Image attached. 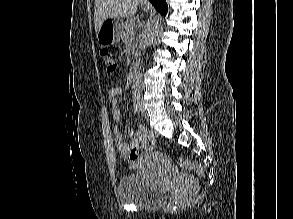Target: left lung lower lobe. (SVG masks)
Returning a JSON list of instances; mask_svg holds the SVG:
<instances>
[{"instance_id":"left-lung-lower-lobe-1","label":"left lung lower lobe","mask_w":293,"mask_h":219,"mask_svg":"<svg viewBox=\"0 0 293 219\" xmlns=\"http://www.w3.org/2000/svg\"><path fill=\"white\" fill-rule=\"evenodd\" d=\"M150 2L159 12H161V14L166 15V12H167L166 0H150Z\"/></svg>"}]
</instances>
